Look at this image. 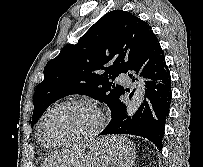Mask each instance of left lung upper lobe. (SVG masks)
<instances>
[{
  "label": "left lung upper lobe",
  "mask_w": 203,
  "mask_h": 167,
  "mask_svg": "<svg viewBox=\"0 0 203 167\" xmlns=\"http://www.w3.org/2000/svg\"><path fill=\"white\" fill-rule=\"evenodd\" d=\"M155 39L150 27L130 12L105 14L77 44L66 45L46 64L33 96L31 127L52 103L72 94L105 102L112 110L125 90L114 79L127 73Z\"/></svg>",
  "instance_id": "1"
}]
</instances>
